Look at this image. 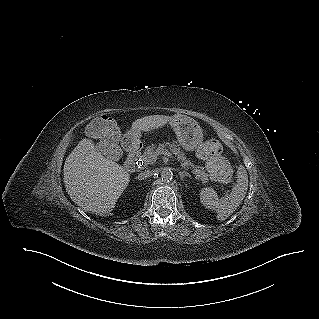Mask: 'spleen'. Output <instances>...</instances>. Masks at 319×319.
Returning <instances> with one entry per match:
<instances>
[{"instance_id":"spleen-1","label":"spleen","mask_w":319,"mask_h":319,"mask_svg":"<svg viewBox=\"0 0 319 319\" xmlns=\"http://www.w3.org/2000/svg\"><path fill=\"white\" fill-rule=\"evenodd\" d=\"M248 189V174L243 165L237 170V180L229 195L218 196L213 188L206 187L200 191V202L208 209L217 211V218L221 221L226 220L242 203Z\"/></svg>"}]
</instances>
